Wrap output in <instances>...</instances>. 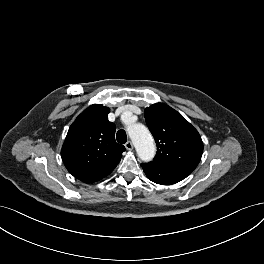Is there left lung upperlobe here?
<instances>
[{
  "label": "left lung upper lobe",
  "mask_w": 264,
  "mask_h": 264,
  "mask_svg": "<svg viewBox=\"0 0 264 264\" xmlns=\"http://www.w3.org/2000/svg\"><path fill=\"white\" fill-rule=\"evenodd\" d=\"M145 120L157 144L153 161L193 171L203 152L198 131L179 112L163 103L146 108Z\"/></svg>",
  "instance_id": "left-lung-upper-lobe-1"
}]
</instances>
